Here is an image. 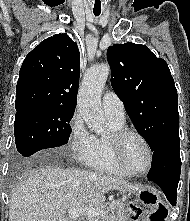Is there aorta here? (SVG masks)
Masks as SVG:
<instances>
[{
	"label": "aorta",
	"mask_w": 190,
	"mask_h": 221,
	"mask_svg": "<svg viewBox=\"0 0 190 221\" xmlns=\"http://www.w3.org/2000/svg\"><path fill=\"white\" fill-rule=\"evenodd\" d=\"M110 73L108 64L91 67L84 76L78 93V110L87 126L96 133L106 130L101 109V94Z\"/></svg>",
	"instance_id": "762f6f07"
}]
</instances>
